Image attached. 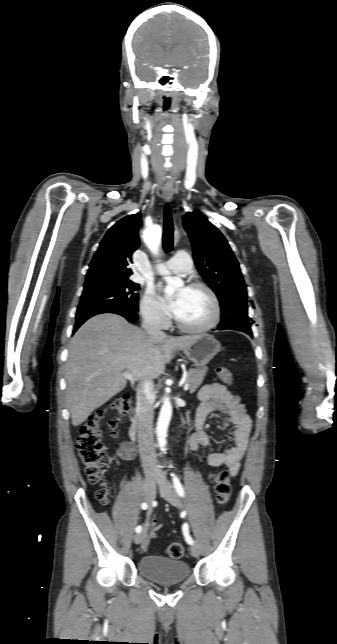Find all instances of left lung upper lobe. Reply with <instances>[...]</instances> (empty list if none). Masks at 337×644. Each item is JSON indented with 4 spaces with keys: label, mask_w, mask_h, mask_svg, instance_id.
I'll return each instance as SVG.
<instances>
[{
    "label": "left lung upper lobe",
    "mask_w": 337,
    "mask_h": 644,
    "mask_svg": "<svg viewBox=\"0 0 337 644\" xmlns=\"http://www.w3.org/2000/svg\"><path fill=\"white\" fill-rule=\"evenodd\" d=\"M183 225L191 240L195 265L221 306L218 328L252 336L247 290L239 263L223 234L200 211L187 213Z\"/></svg>",
    "instance_id": "5c2ea615"
}]
</instances>
